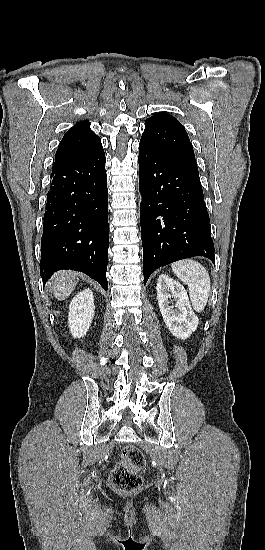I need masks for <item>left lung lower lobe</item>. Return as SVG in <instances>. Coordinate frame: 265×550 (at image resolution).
I'll use <instances>...</instances> for the list:
<instances>
[{"instance_id":"1","label":"left lung lower lobe","mask_w":265,"mask_h":550,"mask_svg":"<svg viewBox=\"0 0 265 550\" xmlns=\"http://www.w3.org/2000/svg\"><path fill=\"white\" fill-rule=\"evenodd\" d=\"M144 285L153 271L204 256L215 264L199 174L139 144Z\"/></svg>"}]
</instances>
